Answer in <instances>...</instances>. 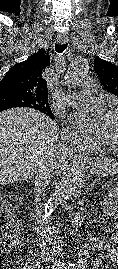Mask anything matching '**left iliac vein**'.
<instances>
[{
    "label": "left iliac vein",
    "instance_id": "obj_1",
    "mask_svg": "<svg viewBox=\"0 0 118 269\" xmlns=\"http://www.w3.org/2000/svg\"><path fill=\"white\" fill-rule=\"evenodd\" d=\"M56 265L58 266L59 269L63 268V264L61 262H56Z\"/></svg>",
    "mask_w": 118,
    "mask_h": 269
}]
</instances>
